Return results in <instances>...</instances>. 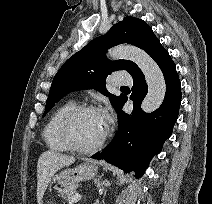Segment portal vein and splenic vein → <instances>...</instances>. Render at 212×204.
I'll return each mask as SVG.
<instances>
[{"instance_id": "18ae733b", "label": "portal vein and splenic vein", "mask_w": 212, "mask_h": 204, "mask_svg": "<svg viewBox=\"0 0 212 204\" xmlns=\"http://www.w3.org/2000/svg\"><path fill=\"white\" fill-rule=\"evenodd\" d=\"M81 199V195L80 194H75L71 197V199L69 200V204H73L78 202Z\"/></svg>"}]
</instances>
